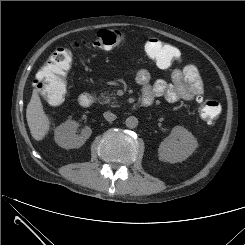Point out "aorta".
I'll return each instance as SVG.
<instances>
[{
    "label": "aorta",
    "instance_id": "762f6f07",
    "mask_svg": "<svg viewBox=\"0 0 245 245\" xmlns=\"http://www.w3.org/2000/svg\"><path fill=\"white\" fill-rule=\"evenodd\" d=\"M125 125L130 128H136L138 126V119L135 116H130L126 119Z\"/></svg>",
    "mask_w": 245,
    "mask_h": 245
}]
</instances>
